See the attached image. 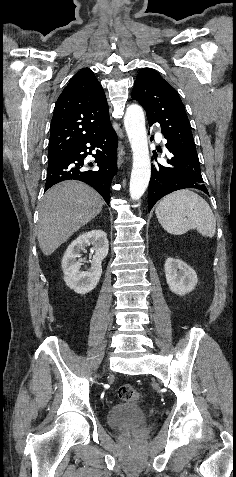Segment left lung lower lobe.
<instances>
[{"label": "left lung lower lobe", "instance_id": "0a47b994", "mask_svg": "<svg viewBox=\"0 0 236 477\" xmlns=\"http://www.w3.org/2000/svg\"><path fill=\"white\" fill-rule=\"evenodd\" d=\"M166 148L170 153L167 165H152L148 191L149 211L163 196L180 189L195 188L209 195L202 179L198 157L170 145H166ZM153 154L156 158L157 153L153 151Z\"/></svg>", "mask_w": 236, "mask_h": 477}]
</instances>
